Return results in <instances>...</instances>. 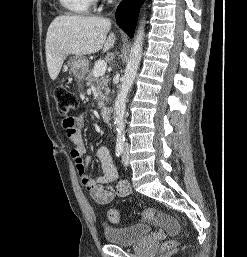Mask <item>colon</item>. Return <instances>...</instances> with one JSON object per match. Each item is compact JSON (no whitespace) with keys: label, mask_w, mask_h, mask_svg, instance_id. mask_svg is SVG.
Here are the masks:
<instances>
[{"label":"colon","mask_w":247,"mask_h":257,"mask_svg":"<svg viewBox=\"0 0 247 257\" xmlns=\"http://www.w3.org/2000/svg\"><path fill=\"white\" fill-rule=\"evenodd\" d=\"M55 100L58 114L63 119L64 124L71 123V113L75 111L79 106V101L77 96L64 87H57L55 89ZM142 216L145 220L153 221L155 219V214L151 209H147L142 213ZM120 213L119 211L112 209L108 212V219L112 223H117L120 221ZM176 245L174 240L166 241L163 244V250H171Z\"/></svg>","instance_id":"5ec220e1"}]
</instances>
